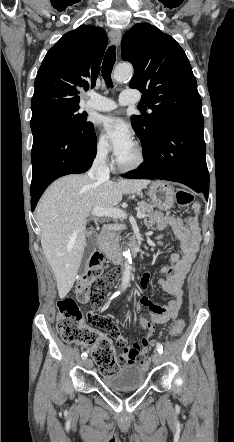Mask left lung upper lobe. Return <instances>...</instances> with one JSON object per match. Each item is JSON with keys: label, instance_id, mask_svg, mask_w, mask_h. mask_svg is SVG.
<instances>
[{"label": "left lung upper lobe", "instance_id": "left-lung-upper-lobe-1", "mask_svg": "<svg viewBox=\"0 0 234 442\" xmlns=\"http://www.w3.org/2000/svg\"><path fill=\"white\" fill-rule=\"evenodd\" d=\"M121 56L134 66L130 88L143 93V103L152 111L131 117L146 153L163 126L178 117L202 113L196 78L177 41L148 23H138L125 33Z\"/></svg>", "mask_w": 234, "mask_h": 442}]
</instances>
